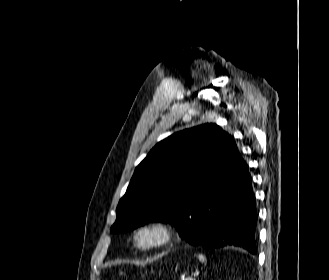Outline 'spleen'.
<instances>
[{
	"label": "spleen",
	"mask_w": 329,
	"mask_h": 280,
	"mask_svg": "<svg viewBox=\"0 0 329 280\" xmlns=\"http://www.w3.org/2000/svg\"><path fill=\"white\" fill-rule=\"evenodd\" d=\"M198 259H199L200 262H202V263L205 262V263H206V257H205L204 255L199 254V255H198Z\"/></svg>",
	"instance_id": "3e777b00"
}]
</instances>
